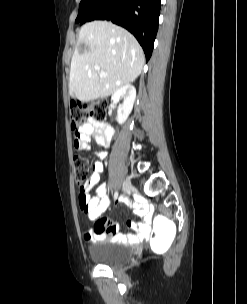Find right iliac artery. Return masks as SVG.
<instances>
[{
    "instance_id": "obj_1",
    "label": "right iliac artery",
    "mask_w": 247,
    "mask_h": 304,
    "mask_svg": "<svg viewBox=\"0 0 247 304\" xmlns=\"http://www.w3.org/2000/svg\"><path fill=\"white\" fill-rule=\"evenodd\" d=\"M117 197H118V193L116 192L114 198L117 199Z\"/></svg>"
}]
</instances>
